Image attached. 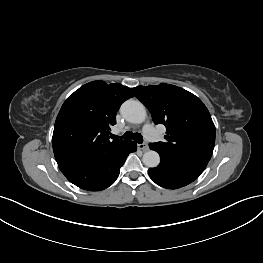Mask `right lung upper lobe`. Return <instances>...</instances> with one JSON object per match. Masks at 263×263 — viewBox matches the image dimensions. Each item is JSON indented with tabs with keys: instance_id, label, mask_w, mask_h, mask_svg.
I'll use <instances>...</instances> for the list:
<instances>
[{
	"instance_id": "cb5924a9",
	"label": "right lung upper lobe",
	"mask_w": 263,
	"mask_h": 263,
	"mask_svg": "<svg viewBox=\"0 0 263 263\" xmlns=\"http://www.w3.org/2000/svg\"><path fill=\"white\" fill-rule=\"evenodd\" d=\"M130 88L98 80L71 94L56 118L52 145L62 173L89 165L128 141L110 139L120 105L133 97Z\"/></svg>"
}]
</instances>
